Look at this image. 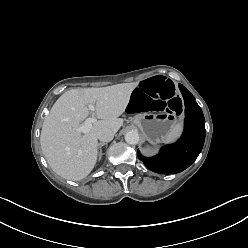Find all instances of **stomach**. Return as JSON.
<instances>
[{"label": "stomach", "instance_id": "obj_1", "mask_svg": "<svg viewBox=\"0 0 248 248\" xmlns=\"http://www.w3.org/2000/svg\"><path fill=\"white\" fill-rule=\"evenodd\" d=\"M133 123L139 127L144 138L151 144L164 141L178 120L174 112H162L159 115L144 112L134 117Z\"/></svg>", "mask_w": 248, "mask_h": 248}]
</instances>
